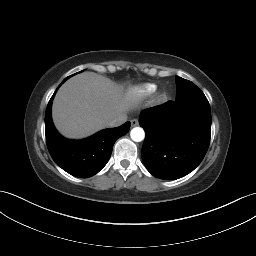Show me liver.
<instances>
[{
  "mask_svg": "<svg viewBox=\"0 0 256 256\" xmlns=\"http://www.w3.org/2000/svg\"><path fill=\"white\" fill-rule=\"evenodd\" d=\"M129 100L123 86L94 72H84L60 87L53 101L52 119L62 135L80 139L125 114Z\"/></svg>",
  "mask_w": 256,
  "mask_h": 256,
  "instance_id": "obj_1",
  "label": "liver"
}]
</instances>
